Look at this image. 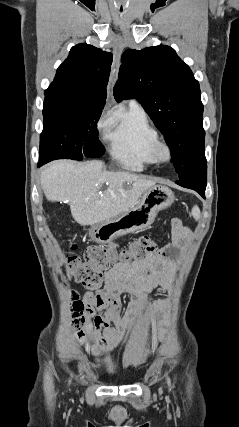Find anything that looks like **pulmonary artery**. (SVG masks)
<instances>
[{
	"label": "pulmonary artery",
	"mask_w": 239,
	"mask_h": 427,
	"mask_svg": "<svg viewBox=\"0 0 239 427\" xmlns=\"http://www.w3.org/2000/svg\"><path fill=\"white\" fill-rule=\"evenodd\" d=\"M131 104H136V105H138V103H137L136 101H134V100H132V101H131Z\"/></svg>",
	"instance_id": "obj_1"
}]
</instances>
